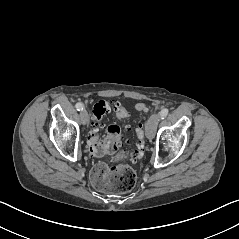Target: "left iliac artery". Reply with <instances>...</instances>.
<instances>
[{"instance_id":"1","label":"left iliac artery","mask_w":239,"mask_h":239,"mask_svg":"<svg viewBox=\"0 0 239 239\" xmlns=\"http://www.w3.org/2000/svg\"><path fill=\"white\" fill-rule=\"evenodd\" d=\"M169 110L167 108H163L160 112V118L164 119L168 115Z\"/></svg>"}]
</instances>
